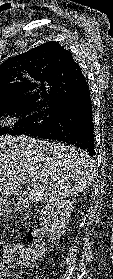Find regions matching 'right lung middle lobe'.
I'll return each mask as SVG.
<instances>
[{
	"instance_id": "1",
	"label": "right lung middle lobe",
	"mask_w": 113,
	"mask_h": 279,
	"mask_svg": "<svg viewBox=\"0 0 113 279\" xmlns=\"http://www.w3.org/2000/svg\"><path fill=\"white\" fill-rule=\"evenodd\" d=\"M59 112L60 107L43 103L14 107H2L0 108V117L5 116V114H11L17 118L20 117V120L15 123L14 129H8L6 127L1 128L0 125V135L25 134L27 131L54 121L57 118Z\"/></svg>"
}]
</instances>
